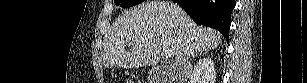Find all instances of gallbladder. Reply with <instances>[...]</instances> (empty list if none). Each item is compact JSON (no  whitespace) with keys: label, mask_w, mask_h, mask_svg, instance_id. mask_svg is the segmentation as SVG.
Returning <instances> with one entry per match:
<instances>
[{"label":"gallbladder","mask_w":307,"mask_h":83,"mask_svg":"<svg viewBox=\"0 0 307 83\" xmlns=\"http://www.w3.org/2000/svg\"><path fill=\"white\" fill-rule=\"evenodd\" d=\"M155 75H156V72H153V71H150V72H149V76H150V77H154Z\"/></svg>","instance_id":"bac80fb5"}]
</instances>
